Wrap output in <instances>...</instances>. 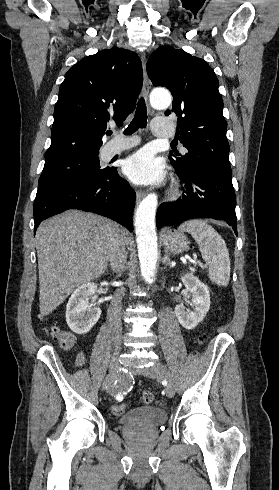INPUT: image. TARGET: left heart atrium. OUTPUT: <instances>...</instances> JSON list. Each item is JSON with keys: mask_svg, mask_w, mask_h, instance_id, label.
Returning <instances> with one entry per match:
<instances>
[{"mask_svg": "<svg viewBox=\"0 0 279 490\" xmlns=\"http://www.w3.org/2000/svg\"><path fill=\"white\" fill-rule=\"evenodd\" d=\"M122 170L132 183L141 186L159 185L165 177L164 162L147 149L126 158Z\"/></svg>", "mask_w": 279, "mask_h": 490, "instance_id": "39dd6f15", "label": "left heart atrium"}]
</instances>
